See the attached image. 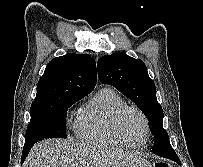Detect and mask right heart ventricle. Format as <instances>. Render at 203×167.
Here are the masks:
<instances>
[{
    "mask_svg": "<svg viewBox=\"0 0 203 167\" xmlns=\"http://www.w3.org/2000/svg\"><path fill=\"white\" fill-rule=\"evenodd\" d=\"M125 104L113 88L100 89L78 113L74 127L77 137L90 143L127 147L111 125L115 113Z\"/></svg>",
    "mask_w": 203,
    "mask_h": 167,
    "instance_id": "1",
    "label": "right heart ventricle"
}]
</instances>
